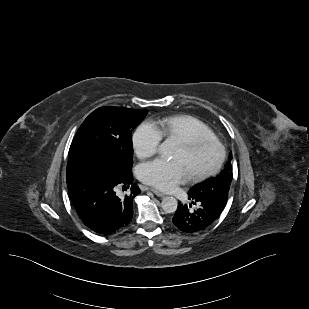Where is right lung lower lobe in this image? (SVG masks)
<instances>
[{
	"label": "right lung lower lobe",
	"instance_id": "obj_1",
	"mask_svg": "<svg viewBox=\"0 0 309 309\" xmlns=\"http://www.w3.org/2000/svg\"><path fill=\"white\" fill-rule=\"evenodd\" d=\"M66 179L73 206L87 227L106 236L128 226L133 216L134 198L141 190L133 184L130 193L121 198L115 190L118 184L132 183L131 170L117 178L93 164L72 162L67 165Z\"/></svg>",
	"mask_w": 309,
	"mask_h": 309
}]
</instances>
